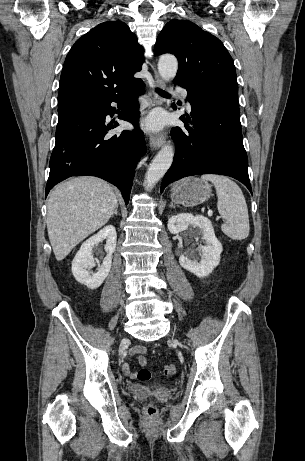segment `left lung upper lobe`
<instances>
[{
  "label": "left lung upper lobe",
  "mask_w": 305,
  "mask_h": 461,
  "mask_svg": "<svg viewBox=\"0 0 305 461\" xmlns=\"http://www.w3.org/2000/svg\"><path fill=\"white\" fill-rule=\"evenodd\" d=\"M155 52L174 54L179 62L176 84L191 89L238 91L233 60L212 34L188 20H171L157 38Z\"/></svg>",
  "instance_id": "5c2ea615"
}]
</instances>
